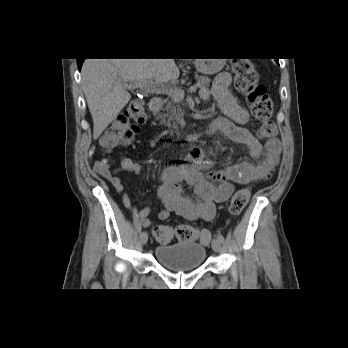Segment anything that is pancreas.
<instances>
[{
  "label": "pancreas",
  "instance_id": "obj_1",
  "mask_svg": "<svg viewBox=\"0 0 348 348\" xmlns=\"http://www.w3.org/2000/svg\"><path fill=\"white\" fill-rule=\"evenodd\" d=\"M197 84L196 87L205 88L208 87L211 83V79L206 76L197 75L196 76ZM171 97V96H170ZM181 101H175L172 97L168 100L165 107V113L161 115L162 123L173 129H179L185 127L184 121V111L181 107Z\"/></svg>",
  "mask_w": 348,
  "mask_h": 348
}]
</instances>
